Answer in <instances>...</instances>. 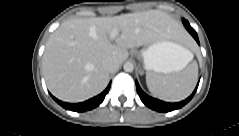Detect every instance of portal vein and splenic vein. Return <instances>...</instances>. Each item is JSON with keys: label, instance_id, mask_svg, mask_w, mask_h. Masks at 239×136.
Masks as SVG:
<instances>
[{"label": "portal vein and splenic vein", "instance_id": "portal-vein-and-splenic-vein-1", "mask_svg": "<svg viewBox=\"0 0 239 136\" xmlns=\"http://www.w3.org/2000/svg\"><path fill=\"white\" fill-rule=\"evenodd\" d=\"M118 31L117 30H112L110 33V39L113 40L114 38H116V36L118 35Z\"/></svg>", "mask_w": 239, "mask_h": 136}]
</instances>
